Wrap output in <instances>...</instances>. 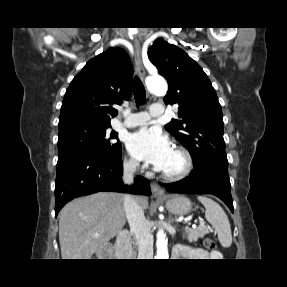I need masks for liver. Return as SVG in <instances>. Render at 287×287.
I'll return each mask as SVG.
<instances>
[{"label": "liver", "mask_w": 287, "mask_h": 287, "mask_svg": "<svg viewBox=\"0 0 287 287\" xmlns=\"http://www.w3.org/2000/svg\"><path fill=\"white\" fill-rule=\"evenodd\" d=\"M143 209L145 197L136 198ZM126 223L124 196L99 192L68 203L59 214V242L62 259H90Z\"/></svg>", "instance_id": "obj_1"}]
</instances>
